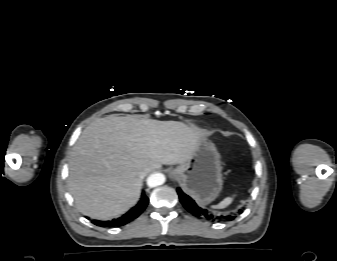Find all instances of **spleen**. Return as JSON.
Segmentation results:
<instances>
[{
	"label": "spleen",
	"mask_w": 337,
	"mask_h": 261,
	"mask_svg": "<svg viewBox=\"0 0 337 261\" xmlns=\"http://www.w3.org/2000/svg\"><path fill=\"white\" fill-rule=\"evenodd\" d=\"M233 201V197H226L223 201H221L218 205L214 206L215 208H225Z\"/></svg>",
	"instance_id": "spleen-1"
}]
</instances>
